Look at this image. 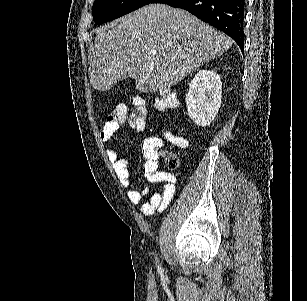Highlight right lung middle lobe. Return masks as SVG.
<instances>
[{
	"label": "right lung middle lobe",
	"mask_w": 307,
	"mask_h": 301,
	"mask_svg": "<svg viewBox=\"0 0 307 301\" xmlns=\"http://www.w3.org/2000/svg\"><path fill=\"white\" fill-rule=\"evenodd\" d=\"M151 0H95L92 13L96 25L111 21L134 11Z\"/></svg>",
	"instance_id": "dd1d6c3e"
}]
</instances>
